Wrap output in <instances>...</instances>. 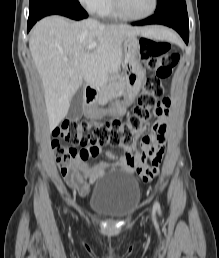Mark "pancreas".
Masks as SVG:
<instances>
[{"instance_id": "cf45deb5", "label": "pancreas", "mask_w": 219, "mask_h": 258, "mask_svg": "<svg viewBox=\"0 0 219 258\" xmlns=\"http://www.w3.org/2000/svg\"><path fill=\"white\" fill-rule=\"evenodd\" d=\"M116 89L123 90L122 83L119 81V75H114L107 79L99 93V103H106L116 93Z\"/></svg>"}]
</instances>
